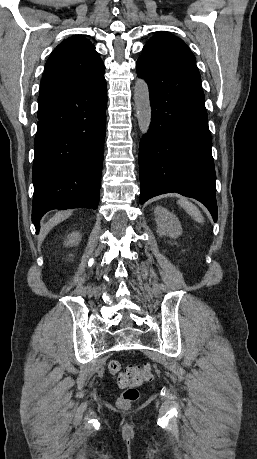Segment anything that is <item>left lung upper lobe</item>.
I'll list each match as a JSON object with an SVG mask.
<instances>
[{"label": "left lung upper lobe", "instance_id": "1", "mask_svg": "<svg viewBox=\"0 0 257 459\" xmlns=\"http://www.w3.org/2000/svg\"><path fill=\"white\" fill-rule=\"evenodd\" d=\"M141 57L171 63L195 62V56L181 39L164 32L156 34L148 41Z\"/></svg>", "mask_w": 257, "mask_h": 459}]
</instances>
